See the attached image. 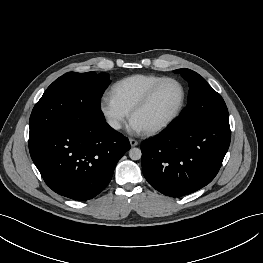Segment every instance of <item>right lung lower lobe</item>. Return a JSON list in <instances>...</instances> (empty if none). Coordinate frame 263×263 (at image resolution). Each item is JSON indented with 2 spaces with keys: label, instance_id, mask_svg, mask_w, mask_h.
Returning a JSON list of instances; mask_svg holds the SVG:
<instances>
[{
  "label": "right lung lower lobe",
  "instance_id": "right-lung-lower-lobe-1",
  "mask_svg": "<svg viewBox=\"0 0 263 263\" xmlns=\"http://www.w3.org/2000/svg\"><path fill=\"white\" fill-rule=\"evenodd\" d=\"M130 149L126 137L101 119H78L29 138L31 158L45 183L74 200L98 195L119 159Z\"/></svg>",
  "mask_w": 263,
  "mask_h": 263
}]
</instances>
